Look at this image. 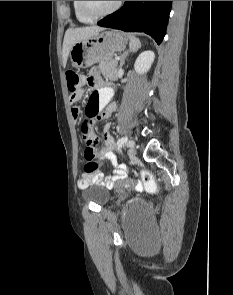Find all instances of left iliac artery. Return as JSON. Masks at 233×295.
<instances>
[{
	"instance_id": "left-iliac-artery-1",
	"label": "left iliac artery",
	"mask_w": 233,
	"mask_h": 295,
	"mask_svg": "<svg viewBox=\"0 0 233 295\" xmlns=\"http://www.w3.org/2000/svg\"><path fill=\"white\" fill-rule=\"evenodd\" d=\"M126 143H127V145H132L133 142H132V140H127Z\"/></svg>"
}]
</instances>
